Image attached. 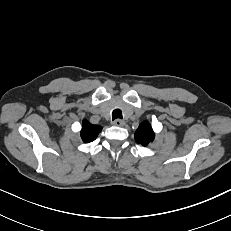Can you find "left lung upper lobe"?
I'll return each mask as SVG.
<instances>
[{
	"label": "left lung upper lobe",
	"mask_w": 231,
	"mask_h": 231,
	"mask_svg": "<svg viewBox=\"0 0 231 231\" xmlns=\"http://www.w3.org/2000/svg\"><path fill=\"white\" fill-rule=\"evenodd\" d=\"M134 138L138 144L147 146L154 139L151 125L147 121L141 123L135 132Z\"/></svg>",
	"instance_id": "left-lung-upper-lobe-1"
}]
</instances>
